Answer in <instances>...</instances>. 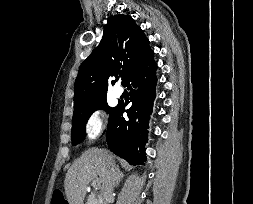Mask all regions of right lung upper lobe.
<instances>
[{"label": "right lung upper lobe", "instance_id": "cb5924a9", "mask_svg": "<svg viewBox=\"0 0 253 204\" xmlns=\"http://www.w3.org/2000/svg\"><path fill=\"white\" fill-rule=\"evenodd\" d=\"M150 50L149 40L131 16L110 17L99 46L80 66L75 80L74 111L105 97L104 79L122 72L125 83Z\"/></svg>", "mask_w": 253, "mask_h": 204}]
</instances>
